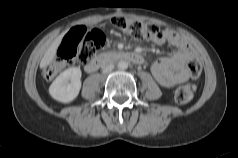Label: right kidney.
I'll use <instances>...</instances> for the list:
<instances>
[{"mask_svg":"<svg viewBox=\"0 0 238 158\" xmlns=\"http://www.w3.org/2000/svg\"><path fill=\"white\" fill-rule=\"evenodd\" d=\"M81 75V70L78 67L66 69L50 85L49 94L56 101L70 103L79 94Z\"/></svg>","mask_w":238,"mask_h":158,"instance_id":"1","label":"right kidney"}]
</instances>
